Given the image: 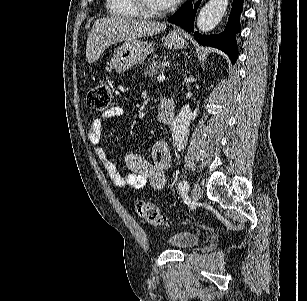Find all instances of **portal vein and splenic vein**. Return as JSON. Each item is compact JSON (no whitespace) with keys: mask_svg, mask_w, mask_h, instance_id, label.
<instances>
[{"mask_svg":"<svg viewBox=\"0 0 307 301\" xmlns=\"http://www.w3.org/2000/svg\"><path fill=\"white\" fill-rule=\"evenodd\" d=\"M166 76L164 74H158L157 80H165Z\"/></svg>","mask_w":307,"mask_h":301,"instance_id":"portal-vein-and-splenic-vein-1","label":"portal vein and splenic vein"}]
</instances>
